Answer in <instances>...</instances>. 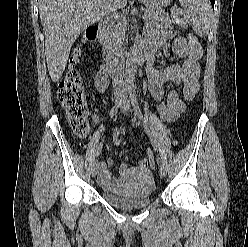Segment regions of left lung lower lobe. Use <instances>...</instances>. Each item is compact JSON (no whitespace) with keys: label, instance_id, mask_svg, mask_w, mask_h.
<instances>
[{"label":"left lung lower lobe","instance_id":"1","mask_svg":"<svg viewBox=\"0 0 248 247\" xmlns=\"http://www.w3.org/2000/svg\"><path fill=\"white\" fill-rule=\"evenodd\" d=\"M210 1H211L212 6L214 7L215 0H210Z\"/></svg>","mask_w":248,"mask_h":247}]
</instances>
